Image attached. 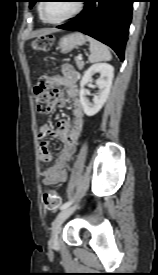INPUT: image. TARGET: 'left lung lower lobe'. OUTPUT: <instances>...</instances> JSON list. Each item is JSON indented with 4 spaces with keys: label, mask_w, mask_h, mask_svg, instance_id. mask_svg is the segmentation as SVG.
I'll use <instances>...</instances> for the list:
<instances>
[{
    "label": "left lung lower lobe",
    "mask_w": 158,
    "mask_h": 275,
    "mask_svg": "<svg viewBox=\"0 0 158 275\" xmlns=\"http://www.w3.org/2000/svg\"><path fill=\"white\" fill-rule=\"evenodd\" d=\"M85 7L71 22L58 26L87 34L110 46L121 61L128 39L134 0H84Z\"/></svg>",
    "instance_id": "left-lung-lower-lobe-1"
}]
</instances>
